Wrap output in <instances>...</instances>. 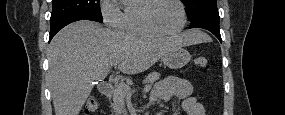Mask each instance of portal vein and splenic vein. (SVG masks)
I'll return each instance as SVG.
<instances>
[{
    "instance_id": "obj_1",
    "label": "portal vein and splenic vein",
    "mask_w": 285,
    "mask_h": 115,
    "mask_svg": "<svg viewBox=\"0 0 285 115\" xmlns=\"http://www.w3.org/2000/svg\"><path fill=\"white\" fill-rule=\"evenodd\" d=\"M117 65H119V64L116 63L115 66H117ZM149 88H150V86H149V85H146V86L144 87V91H147Z\"/></svg>"
}]
</instances>
